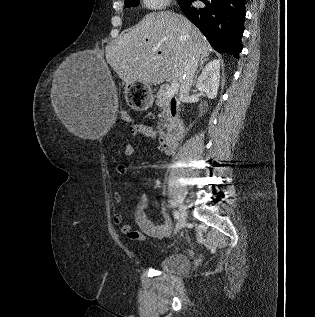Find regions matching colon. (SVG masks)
Listing matches in <instances>:
<instances>
[{"label": "colon", "instance_id": "obj_1", "mask_svg": "<svg viewBox=\"0 0 315 317\" xmlns=\"http://www.w3.org/2000/svg\"><path fill=\"white\" fill-rule=\"evenodd\" d=\"M122 118L123 120H125L126 122H131V117L127 114V113H124L122 115Z\"/></svg>", "mask_w": 315, "mask_h": 317}]
</instances>
